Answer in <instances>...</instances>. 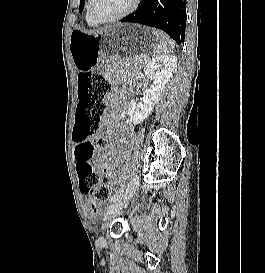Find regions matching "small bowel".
<instances>
[{
  "mask_svg": "<svg viewBox=\"0 0 265 273\" xmlns=\"http://www.w3.org/2000/svg\"><path fill=\"white\" fill-rule=\"evenodd\" d=\"M108 103L112 108V111L110 114H108L105 117V135L107 137H111L114 134L115 127L117 125V122L121 116V114L118 112V101L114 96H109L108 97ZM128 124L126 123L125 126ZM78 142H75V148L78 145ZM115 152V148L113 146H109L105 150H103L97 157L94 165L99 168L102 173L106 177H110V158ZM74 162L76 163V158H75V150H74ZM86 163H89V160H86ZM101 207L99 205L95 207H90L89 214L91 216H97L100 213Z\"/></svg>",
  "mask_w": 265,
  "mask_h": 273,
  "instance_id": "1",
  "label": "small bowel"
}]
</instances>
